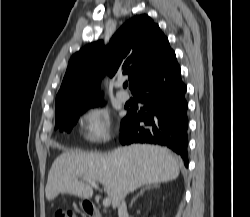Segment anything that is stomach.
<instances>
[{"instance_id": "0dacf381", "label": "stomach", "mask_w": 250, "mask_h": 217, "mask_svg": "<svg viewBox=\"0 0 250 217\" xmlns=\"http://www.w3.org/2000/svg\"><path fill=\"white\" fill-rule=\"evenodd\" d=\"M80 206L83 208V202L80 203Z\"/></svg>"}]
</instances>
